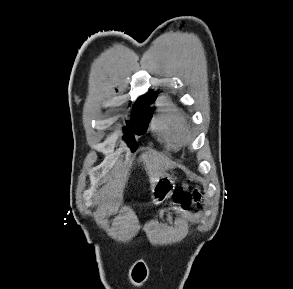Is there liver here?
Listing matches in <instances>:
<instances>
[{
	"instance_id": "obj_1",
	"label": "liver",
	"mask_w": 293,
	"mask_h": 289,
	"mask_svg": "<svg viewBox=\"0 0 293 289\" xmlns=\"http://www.w3.org/2000/svg\"><path fill=\"white\" fill-rule=\"evenodd\" d=\"M140 162H143L151 188L165 174V169L170 165V161L159 156L157 153L142 154ZM128 180L127 173L123 172L119 166L114 171V176L106 180V184L101 189V194L109 199L121 198L123 189Z\"/></svg>"
}]
</instances>
